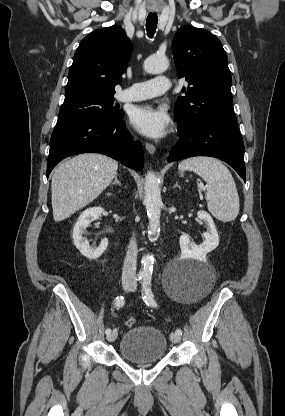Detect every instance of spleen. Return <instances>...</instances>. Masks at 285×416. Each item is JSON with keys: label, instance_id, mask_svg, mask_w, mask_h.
Here are the masks:
<instances>
[{"label": "spleen", "instance_id": "3e777b00", "mask_svg": "<svg viewBox=\"0 0 285 416\" xmlns=\"http://www.w3.org/2000/svg\"><path fill=\"white\" fill-rule=\"evenodd\" d=\"M178 170H189L207 182V208L220 222H232L239 214L240 200L236 184L226 166L215 158H188L178 166Z\"/></svg>", "mask_w": 285, "mask_h": 416}]
</instances>
